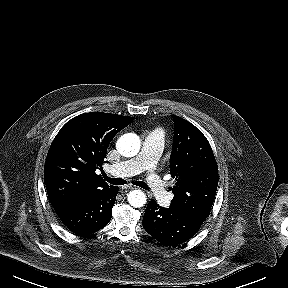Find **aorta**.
Returning <instances> with one entry per match:
<instances>
[{"label": "aorta", "instance_id": "obj_1", "mask_svg": "<svg viewBox=\"0 0 288 288\" xmlns=\"http://www.w3.org/2000/svg\"><path fill=\"white\" fill-rule=\"evenodd\" d=\"M140 146V138L134 133L124 134L116 143L118 152L125 157H133L137 155ZM127 200L134 208H140L146 204L147 198L142 190H133L129 192Z\"/></svg>", "mask_w": 288, "mask_h": 288}]
</instances>
